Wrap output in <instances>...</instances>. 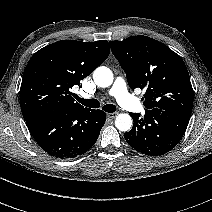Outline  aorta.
I'll return each mask as SVG.
<instances>
[{"label": "aorta", "mask_w": 212, "mask_h": 212, "mask_svg": "<svg viewBox=\"0 0 212 212\" xmlns=\"http://www.w3.org/2000/svg\"><path fill=\"white\" fill-rule=\"evenodd\" d=\"M113 79L112 71L105 66H100L93 72V80L99 87H109L113 83ZM132 123V118L127 113H121L116 116L115 126L120 131H129L132 127Z\"/></svg>", "instance_id": "obj_1"}]
</instances>
